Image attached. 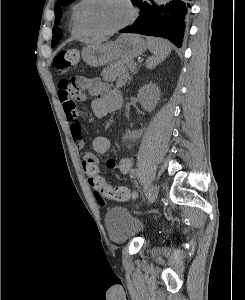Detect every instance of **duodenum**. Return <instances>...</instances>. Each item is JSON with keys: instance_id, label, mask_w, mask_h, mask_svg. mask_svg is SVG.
<instances>
[{"instance_id": "obj_1", "label": "duodenum", "mask_w": 245, "mask_h": 300, "mask_svg": "<svg viewBox=\"0 0 245 300\" xmlns=\"http://www.w3.org/2000/svg\"><path fill=\"white\" fill-rule=\"evenodd\" d=\"M120 105H121V100L118 101V107H120Z\"/></svg>"}]
</instances>
